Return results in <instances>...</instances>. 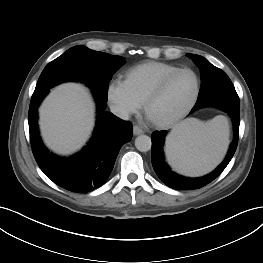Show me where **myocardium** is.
Here are the masks:
<instances>
[{
    "instance_id": "myocardium-1",
    "label": "myocardium",
    "mask_w": 263,
    "mask_h": 263,
    "mask_svg": "<svg viewBox=\"0 0 263 263\" xmlns=\"http://www.w3.org/2000/svg\"><path fill=\"white\" fill-rule=\"evenodd\" d=\"M182 72H190L195 77V81H196L195 91H194L191 99L186 104V106L178 114L174 115L173 117L165 119V120L151 119L149 116V109H150L151 105L163 93V91L166 88V86L168 85V83L175 76H177L178 74H180ZM200 90H201V80H200L199 74L194 69L189 68V67L178 68L177 70H175V71L167 74L165 77H163L159 81V83L154 87V89L148 94V96L146 97V99L143 103L144 113L153 125L160 127V128L170 127V126L176 124L177 122H179L181 119H183L192 110V108L195 106V104L198 100Z\"/></svg>"
}]
</instances>
